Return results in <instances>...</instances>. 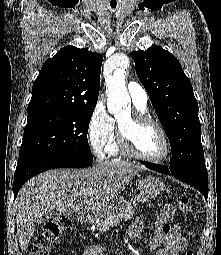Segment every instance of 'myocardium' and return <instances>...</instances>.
<instances>
[{"mask_svg": "<svg viewBox=\"0 0 221 255\" xmlns=\"http://www.w3.org/2000/svg\"><path fill=\"white\" fill-rule=\"evenodd\" d=\"M150 125L155 127L161 134L164 141V153L158 158H148L142 155L136 148L133 130L137 127ZM117 135L119 143L122 149L130 156L139 159L141 161L151 163V164H160L166 161L171 152V145L169 137L160 123L155 119L149 116L146 113H141L139 111H134L128 120V124L123 126L121 123L117 127Z\"/></svg>", "mask_w": 221, "mask_h": 255, "instance_id": "obj_1", "label": "myocardium"}]
</instances>
